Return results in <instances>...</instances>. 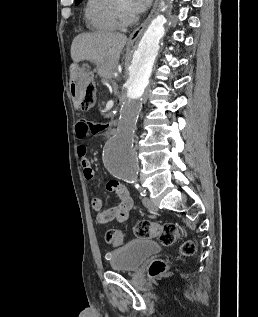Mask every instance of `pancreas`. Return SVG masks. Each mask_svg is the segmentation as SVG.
<instances>
[{
	"label": "pancreas",
	"mask_w": 258,
	"mask_h": 317,
	"mask_svg": "<svg viewBox=\"0 0 258 317\" xmlns=\"http://www.w3.org/2000/svg\"><path fill=\"white\" fill-rule=\"evenodd\" d=\"M108 83L111 84V87L109 88V91L111 93H116L118 91V81L115 80L114 77L108 78Z\"/></svg>",
	"instance_id": "cf45deb5"
}]
</instances>
